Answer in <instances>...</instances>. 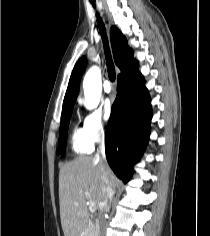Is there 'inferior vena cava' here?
<instances>
[{
  "instance_id": "602c4592",
  "label": "inferior vena cava",
  "mask_w": 210,
  "mask_h": 236,
  "mask_svg": "<svg viewBox=\"0 0 210 236\" xmlns=\"http://www.w3.org/2000/svg\"><path fill=\"white\" fill-rule=\"evenodd\" d=\"M96 160L101 165L102 168V191H103V199L101 201V213L99 215V236H105L106 233V218L105 212H108L110 209V205L114 196L113 190V182L109 179L105 172V147H104V139L103 137L99 141V148L96 153Z\"/></svg>"
}]
</instances>
